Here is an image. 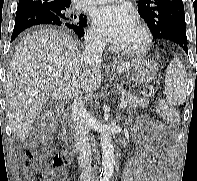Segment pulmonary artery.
Listing matches in <instances>:
<instances>
[{"mask_svg":"<svg viewBox=\"0 0 197 181\" xmlns=\"http://www.w3.org/2000/svg\"><path fill=\"white\" fill-rule=\"evenodd\" d=\"M112 1H116V0H81L79 5L85 6V5H93V4H105Z\"/></svg>","mask_w":197,"mask_h":181,"instance_id":"e3ab8cb5","label":"pulmonary artery"}]
</instances>
